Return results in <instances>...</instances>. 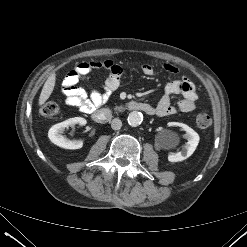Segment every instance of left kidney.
<instances>
[{
    "instance_id": "5707ae66",
    "label": "left kidney",
    "mask_w": 247,
    "mask_h": 247,
    "mask_svg": "<svg viewBox=\"0 0 247 247\" xmlns=\"http://www.w3.org/2000/svg\"><path fill=\"white\" fill-rule=\"evenodd\" d=\"M174 125L181 127L186 132L185 138L188 140V142L182 151L177 153H170L168 155V160L170 162H180L187 159L194 153L199 143V135L186 124L175 123ZM166 137L170 144H176L178 142L177 137L171 132H167Z\"/></svg>"
}]
</instances>
